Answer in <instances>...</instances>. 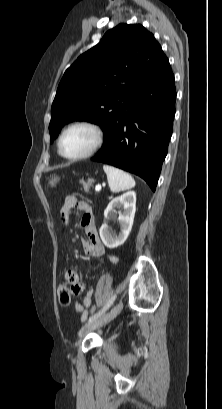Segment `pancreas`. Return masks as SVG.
<instances>
[{"label":"pancreas","instance_id":"cf45deb5","mask_svg":"<svg viewBox=\"0 0 222 409\" xmlns=\"http://www.w3.org/2000/svg\"><path fill=\"white\" fill-rule=\"evenodd\" d=\"M94 183L93 179H88L86 182L85 181H81V184L83 185L84 189L86 192H89V188L90 186H92Z\"/></svg>","mask_w":222,"mask_h":409}]
</instances>
